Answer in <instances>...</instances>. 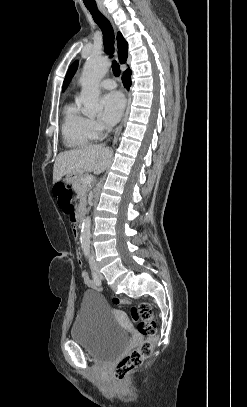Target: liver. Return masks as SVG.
<instances>
[{
  "instance_id": "1",
  "label": "liver",
  "mask_w": 247,
  "mask_h": 407,
  "mask_svg": "<svg viewBox=\"0 0 247 407\" xmlns=\"http://www.w3.org/2000/svg\"><path fill=\"white\" fill-rule=\"evenodd\" d=\"M112 152L102 145H88L60 153L53 167V182L66 174L82 175L84 172L102 173L108 165Z\"/></svg>"
}]
</instances>
